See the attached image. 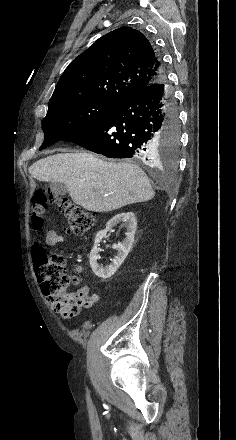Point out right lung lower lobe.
Instances as JSON below:
<instances>
[{
  "mask_svg": "<svg viewBox=\"0 0 236 440\" xmlns=\"http://www.w3.org/2000/svg\"><path fill=\"white\" fill-rule=\"evenodd\" d=\"M158 64L163 74L159 57ZM177 128V111L163 74L91 128L69 137L67 141L110 158L150 162L161 133Z\"/></svg>",
  "mask_w": 236,
  "mask_h": 440,
  "instance_id": "right-lung-lower-lobe-1",
  "label": "right lung lower lobe"
}]
</instances>
